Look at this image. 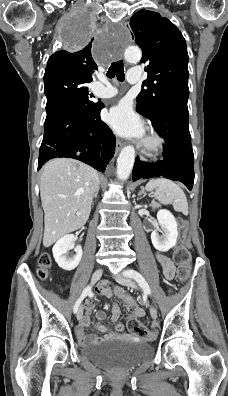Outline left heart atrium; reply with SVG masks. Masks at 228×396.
<instances>
[{
	"label": "left heart atrium",
	"mask_w": 228,
	"mask_h": 396,
	"mask_svg": "<svg viewBox=\"0 0 228 396\" xmlns=\"http://www.w3.org/2000/svg\"><path fill=\"white\" fill-rule=\"evenodd\" d=\"M106 121L119 135L137 138L143 136V122L133 112L128 101H122L112 107L106 117Z\"/></svg>",
	"instance_id": "39dd6f15"
}]
</instances>
